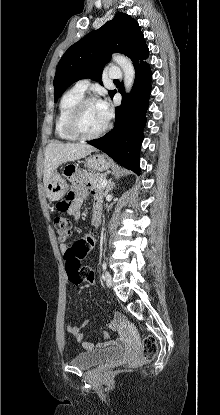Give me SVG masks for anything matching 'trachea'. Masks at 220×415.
<instances>
[{
    "instance_id": "trachea-1",
    "label": "trachea",
    "mask_w": 220,
    "mask_h": 415,
    "mask_svg": "<svg viewBox=\"0 0 220 415\" xmlns=\"http://www.w3.org/2000/svg\"><path fill=\"white\" fill-rule=\"evenodd\" d=\"M114 82H119V80H114Z\"/></svg>"
}]
</instances>
